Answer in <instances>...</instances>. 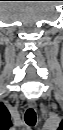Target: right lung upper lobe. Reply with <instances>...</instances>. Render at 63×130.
I'll list each match as a JSON object with an SVG mask.
<instances>
[{
  "instance_id": "cb5924a9",
  "label": "right lung upper lobe",
  "mask_w": 63,
  "mask_h": 130,
  "mask_svg": "<svg viewBox=\"0 0 63 130\" xmlns=\"http://www.w3.org/2000/svg\"><path fill=\"white\" fill-rule=\"evenodd\" d=\"M1 122L7 129L11 126L10 114L4 104H1Z\"/></svg>"
}]
</instances>
